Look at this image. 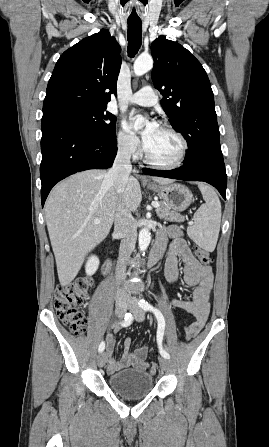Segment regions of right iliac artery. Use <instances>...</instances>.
Here are the masks:
<instances>
[{
	"mask_svg": "<svg viewBox=\"0 0 269 447\" xmlns=\"http://www.w3.org/2000/svg\"><path fill=\"white\" fill-rule=\"evenodd\" d=\"M133 317L130 313L125 314L124 321L121 323L122 326H128L132 323ZM105 349V343L102 341L99 345V352H103Z\"/></svg>",
	"mask_w": 269,
	"mask_h": 447,
	"instance_id": "right-iliac-artery-1",
	"label": "right iliac artery"
}]
</instances>
